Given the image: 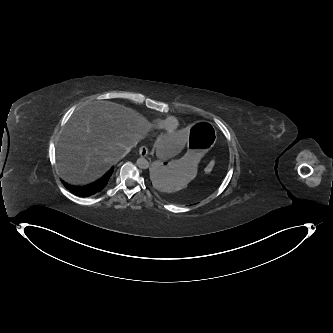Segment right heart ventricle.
Listing matches in <instances>:
<instances>
[{
  "label": "right heart ventricle",
  "instance_id": "1",
  "mask_svg": "<svg viewBox=\"0 0 333 333\" xmlns=\"http://www.w3.org/2000/svg\"><path fill=\"white\" fill-rule=\"evenodd\" d=\"M169 117H166V118H157V119H154L151 121V127L154 129V130H161L163 129L164 127V124H165V121L168 119ZM173 121L175 122V127H179V121L173 117Z\"/></svg>",
  "mask_w": 333,
  "mask_h": 333
}]
</instances>
